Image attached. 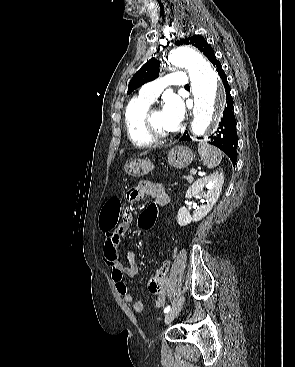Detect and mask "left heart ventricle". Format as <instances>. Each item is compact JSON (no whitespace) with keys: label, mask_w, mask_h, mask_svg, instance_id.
<instances>
[{"label":"left heart ventricle","mask_w":295,"mask_h":367,"mask_svg":"<svg viewBox=\"0 0 295 367\" xmlns=\"http://www.w3.org/2000/svg\"><path fill=\"white\" fill-rule=\"evenodd\" d=\"M152 121L153 124L155 125V127L163 132V133H171V131L168 129V127L166 126L164 119H163V114H162V110H155L152 114Z\"/></svg>","instance_id":"1"}]
</instances>
